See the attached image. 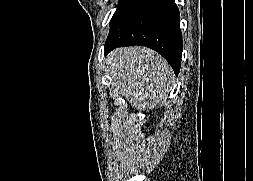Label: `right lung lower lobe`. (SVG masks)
Here are the masks:
<instances>
[{
	"mask_svg": "<svg viewBox=\"0 0 253 181\" xmlns=\"http://www.w3.org/2000/svg\"><path fill=\"white\" fill-rule=\"evenodd\" d=\"M130 45L156 50L179 73L183 46L174 0H136L110 27L104 54Z\"/></svg>",
	"mask_w": 253,
	"mask_h": 181,
	"instance_id": "obj_1",
	"label": "right lung lower lobe"
}]
</instances>
